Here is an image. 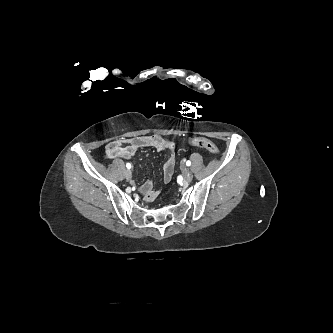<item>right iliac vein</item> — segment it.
Masks as SVG:
<instances>
[{
    "mask_svg": "<svg viewBox=\"0 0 333 333\" xmlns=\"http://www.w3.org/2000/svg\"><path fill=\"white\" fill-rule=\"evenodd\" d=\"M125 177L129 180L132 177V172L128 169L125 171Z\"/></svg>",
    "mask_w": 333,
    "mask_h": 333,
    "instance_id": "1",
    "label": "right iliac vein"
}]
</instances>
